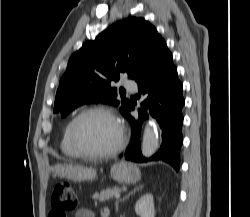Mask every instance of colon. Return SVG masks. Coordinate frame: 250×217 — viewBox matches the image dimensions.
Returning a JSON list of instances; mask_svg holds the SVG:
<instances>
[{"mask_svg":"<svg viewBox=\"0 0 250 217\" xmlns=\"http://www.w3.org/2000/svg\"><path fill=\"white\" fill-rule=\"evenodd\" d=\"M77 204L76 194L68 182H60L54 186L50 205L49 217H68Z\"/></svg>","mask_w":250,"mask_h":217,"instance_id":"1","label":"colon"}]
</instances>
